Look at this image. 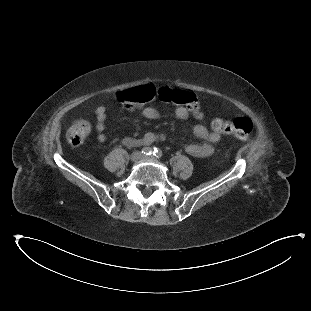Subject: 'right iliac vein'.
I'll list each match as a JSON object with an SVG mask.
<instances>
[{"label":"right iliac vein","mask_w":311,"mask_h":311,"mask_svg":"<svg viewBox=\"0 0 311 311\" xmlns=\"http://www.w3.org/2000/svg\"><path fill=\"white\" fill-rule=\"evenodd\" d=\"M142 153L139 151L133 152L130 156L131 161L137 162L138 160L142 159Z\"/></svg>","instance_id":"right-iliac-vein-1"}]
</instances>
